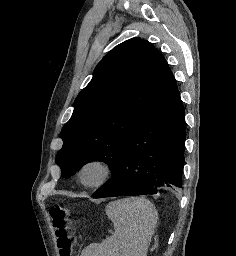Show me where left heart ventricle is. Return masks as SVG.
Returning <instances> with one entry per match:
<instances>
[{
    "mask_svg": "<svg viewBox=\"0 0 236 256\" xmlns=\"http://www.w3.org/2000/svg\"><path fill=\"white\" fill-rule=\"evenodd\" d=\"M101 174V169L98 166L91 165L84 169L83 180L87 183L95 181Z\"/></svg>",
    "mask_w": 236,
    "mask_h": 256,
    "instance_id": "1",
    "label": "left heart ventricle"
}]
</instances>
